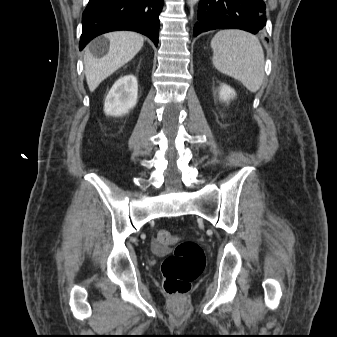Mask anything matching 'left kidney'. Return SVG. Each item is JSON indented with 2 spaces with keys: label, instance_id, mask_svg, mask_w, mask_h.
I'll return each instance as SVG.
<instances>
[{
  "label": "left kidney",
  "instance_id": "1",
  "mask_svg": "<svg viewBox=\"0 0 337 337\" xmlns=\"http://www.w3.org/2000/svg\"><path fill=\"white\" fill-rule=\"evenodd\" d=\"M236 93L234 91V89H232L230 86L226 85V84H222L220 87V91H219V98L220 100L227 102L230 99H233L235 97Z\"/></svg>",
  "mask_w": 337,
  "mask_h": 337
}]
</instances>
